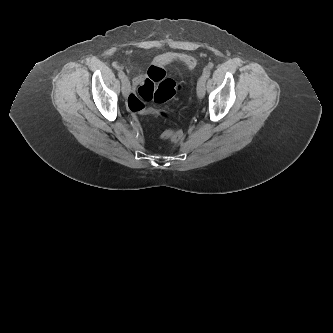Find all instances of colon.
<instances>
[{"instance_id":"5ec220e1","label":"colon","mask_w":333,"mask_h":333,"mask_svg":"<svg viewBox=\"0 0 333 333\" xmlns=\"http://www.w3.org/2000/svg\"><path fill=\"white\" fill-rule=\"evenodd\" d=\"M155 81H147L138 88L140 97L145 101H154L157 104H165L171 100L180 85L173 79L168 78L164 84H158L157 88L154 87ZM127 107L133 113H146L159 116H165L166 112L162 109L145 108L144 103L135 95H131L127 100ZM163 136L173 141H179L183 137V133L178 129H168L164 131Z\"/></svg>"}]
</instances>
